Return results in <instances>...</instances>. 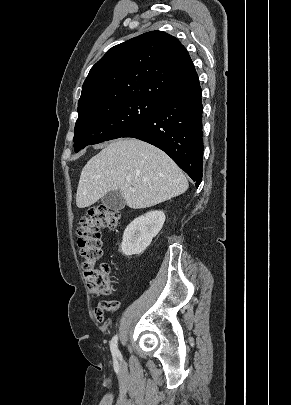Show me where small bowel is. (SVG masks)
Masks as SVG:
<instances>
[{"label": "small bowel", "mask_w": 291, "mask_h": 405, "mask_svg": "<svg viewBox=\"0 0 291 405\" xmlns=\"http://www.w3.org/2000/svg\"><path fill=\"white\" fill-rule=\"evenodd\" d=\"M118 307H119V304L116 301H108V302L100 303L94 311L95 319L97 321L101 322L103 320L105 310H110L111 312H115L118 309Z\"/></svg>", "instance_id": "small-bowel-1"}]
</instances>
